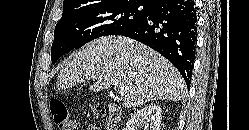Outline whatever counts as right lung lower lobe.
<instances>
[{"label": "right lung lower lobe", "mask_w": 249, "mask_h": 130, "mask_svg": "<svg viewBox=\"0 0 249 130\" xmlns=\"http://www.w3.org/2000/svg\"><path fill=\"white\" fill-rule=\"evenodd\" d=\"M119 35L130 37L159 52L190 86L197 40L196 7L192 0H157L147 17Z\"/></svg>", "instance_id": "right-lung-lower-lobe-1"}]
</instances>
